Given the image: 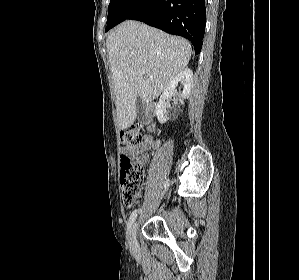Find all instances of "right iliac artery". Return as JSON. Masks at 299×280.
Segmentation results:
<instances>
[{"label": "right iliac artery", "instance_id": "82829eb1", "mask_svg": "<svg viewBox=\"0 0 299 280\" xmlns=\"http://www.w3.org/2000/svg\"><path fill=\"white\" fill-rule=\"evenodd\" d=\"M168 181H169V180L166 181L165 188H166V186H168ZM137 213H138V210H134V211L131 213V215H130V217H129V220H128V223H127V228H128V230H129V228L131 227V225H132V223L134 222V220L136 219V217H137Z\"/></svg>", "mask_w": 299, "mask_h": 280}]
</instances>
